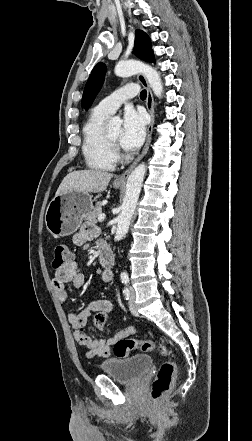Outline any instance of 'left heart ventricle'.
<instances>
[{
    "label": "left heart ventricle",
    "mask_w": 252,
    "mask_h": 441,
    "mask_svg": "<svg viewBox=\"0 0 252 441\" xmlns=\"http://www.w3.org/2000/svg\"><path fill=\"white\" fill-rule=\"evenodd\" d=\"M107 134L112 141L118 143L121 136V129L120 128L114 129L108 132Z\"/></svg>",
    "instance_id": "obj_1"
}]
</instances>
